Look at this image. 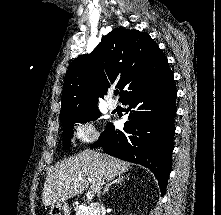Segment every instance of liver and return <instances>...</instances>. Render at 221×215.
Returning <instances> with one entry per match:
<instances>
[{
	"instance_id": "6515ba94",
	"label": "liver",
	"mask_w": 221,
	"mask_h": 215,
	"mask_svg": "<svg viewBox=\"0 0 221 215\" xmlns=\"http://www.w3.org/2000/svg\"><path fill=\"white\" fill-rule=\"evenodd\" d=\"M132 167L128 162L85 150L57 163L45 183L42 192L44 206L65 202L90 188L97 192L101 181L105 182L127 172Z\"/></svg>"
}]
</instances>
